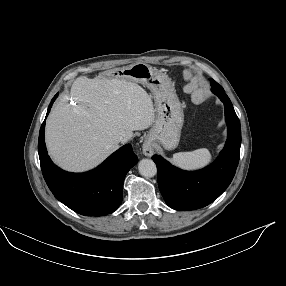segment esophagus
Segmentation results:
<instances>
[{
    "instance_id": "1",
    "label": "esophagus",
    "mask_w": 286,
    "mask_h": 286,
    "mask_svg": "<svg viewBox=\"0 0 286 286\" xmlns=\"http://www.w3.org/2000/svg\"><path fill=\"white\" fill-rule=\"evenodd\" d=\"M142 151L145 156H152L154 154V149L150 142H144L142 145Z\"/></svg>"
}]
</instances>
